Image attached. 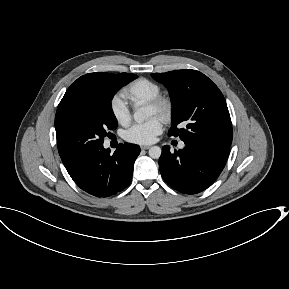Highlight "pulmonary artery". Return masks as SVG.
Wrapping results in <instances>:
<instances>
[{"mask_svg": "<svg viewBox=\"0 0 289 289\" xmlns=\"http://www.w3.org/2000/svg\"><path fill=\"white\" fill-rule=\"evenodd\" d=\"M179 146H180V148H182V147L184 146V144H183V143H180V145H179Z\"/></svg>", "mask_w": 289, "mask_h": 289, "instance_id": "pulmonary-artery-1", "label": "pulmonary artery"}]
</instances>
